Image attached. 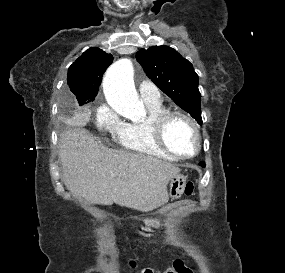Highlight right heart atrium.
Wrapping results in <instances>:
<instances>
[{
    "label": "right heart atrium",
    "mask_w": 285,
    "mask_h": 273,
    "mask_svg": "<svg viewBox=\"0 0 285 273\" xmlns=\"http://www.w3.org/2000/svg\"><path fill=\"white\" fill-rule=\"evenodd\" d=\"M95 124L101 131L117 134L123 122L114 109L107 103H102L96 109Z\"/></svg>",
    "instance_id": "right-heart-atrium-1"
}]
</instances>
